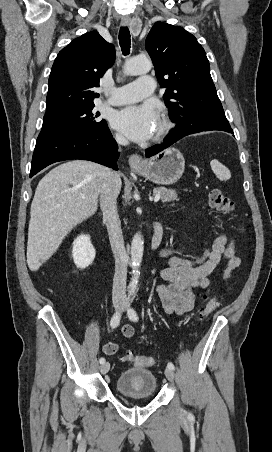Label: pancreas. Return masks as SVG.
Listing matches in <instances>:
<instances>
[{
    "mask_svg": "<svg viewBox=\"0 0 272 452\" xmlns=\"http://www.w3.org/2000/svg\"><path fill=\"white\" fill-rule=\"evenodd\" d=\"M154 195L160 194L162 202H171L177 200V192L175 190L166 189L164 187L154 188Z\"/></svg>",
    "mask_w": 272,
    "mask_h": 452,
    "instance_id": "1",
    "label": "pancreas"
}]
</instances>
